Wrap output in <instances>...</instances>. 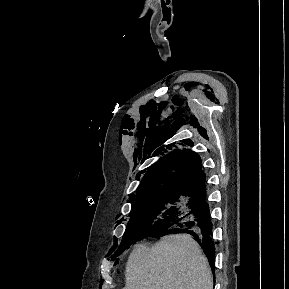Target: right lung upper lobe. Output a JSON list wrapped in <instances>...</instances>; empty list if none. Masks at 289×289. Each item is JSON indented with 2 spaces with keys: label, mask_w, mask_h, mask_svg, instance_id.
<instances>
[{
  "label": "right lung upper lobe",
  "mask_w": 289,
  "mask_h": 289,
  "mask_svg": "<svg viewBox=\"0 0 289 289\" xmlns=\"http://www.w3.org/2000/svg\"><path fill=\"white\" fill-rule=\"evenodd\" d=\"M204 193L205 174L200 157L190 150H176L146 172L136 198L162 194L199 196Z\"/></svg>",
  "instance_id": "cb5924a9"
}]
</instances>
